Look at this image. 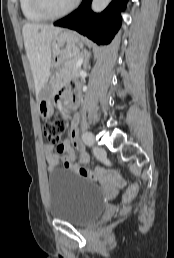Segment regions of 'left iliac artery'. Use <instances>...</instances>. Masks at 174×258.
I'll use <instances>...</instances> for the list:
<instances>
[{
    "mask_svg": "<svg viewBox=\"0 0 174 258\" xmlns=\"http://www.w3.org/2000/svg\"><path fill=\"white\" fill-rule=\"evenodd\" d=\"M82 139H83L84 143L88 146H92L94 143V136L91 132H85L82 135Z\"/></svg>",
    "mask_w": 174,
    "mask_h": 258,
    "instance_id": "obj_1",
    "label": "left iliac artery"
}]
</instances>
